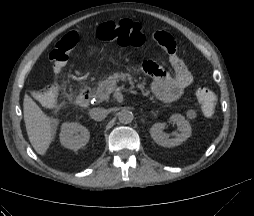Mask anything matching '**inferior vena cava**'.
Here are the masks:
<instances>
[{
	"instance_id": "1",
	"label": "inferior vena cava",
	"mask_w": 254,
	"mask_h": 216,
	"mask_svg": "<svg viewBox=\"0 0 254 216\" xmlns=\"http://www.w3.org/2000/svg\"><path fill=\"white\" fill-rule=\"evenodd\" d=\"M90 117L95 121H101L106 118L108 112L104 108H93L89 112Z\"/></svg>"
}]
</instances>
